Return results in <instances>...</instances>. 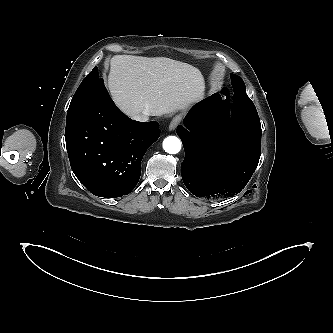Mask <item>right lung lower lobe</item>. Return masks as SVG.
<instances>
[{"label": "right lung lower lobe", "instance_id": "1", "mask_svg": "<svg viewBox=\"0 0 333 333\" xmlns=\"http://www.w3.org/2000/svg\"><path fill=\"white\" fill-rule=\"evenodd\" d=\"M158 126L155 121L128 118L103 83L85 108L66 120V147L74 174L96 196L129 194L139 181L146 150L159 138Z\"/></svg>", "mask_w": 333, "mask_h": 333}]
</instances>
